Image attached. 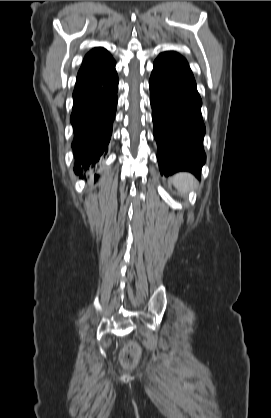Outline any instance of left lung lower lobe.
I'll list each match as a JSON object with an SVG mask.
<instances>
[{
	"label": "left lung lower lobe",
	"instance_id": "left-lung-lower-lobe-1",
	"mask_svg": "<svg viewBox=\"0 0 271 418\" xmlns=\"http://www.w3.org/2000/svg\"><path fill=\"white\" fill-rule=\"evenodd\" d=\"M149 87L161 174L189 171L200 178L206 161L205 125L202 100L186 59L173 51L161 53L154 62Z\"/></svg>",
	"mask_w": 271,
	"mask_h": 418
}]
</instances>
